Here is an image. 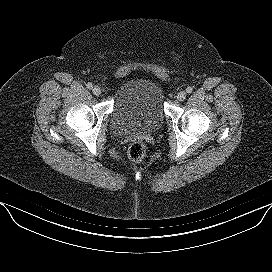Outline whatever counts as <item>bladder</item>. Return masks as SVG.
Masks as SVG:
<instances>
[{
	"mask_svg": "<svg viewBox=\"0 0 272 272\" xmlns=\"http://www.w3.org/2000/svg\"><path fill=\"white\" fill-rule=\"evenodd\" d=\"M164 118V91L159 82L149 77H133L121 84L110 120L116 133L154 131Z\"/></svg>",
	"mask_w": 272,
	"mask_h": 272,
	"instance_id": "obj_1",
	"label": "bladder"
}]
</instances>
